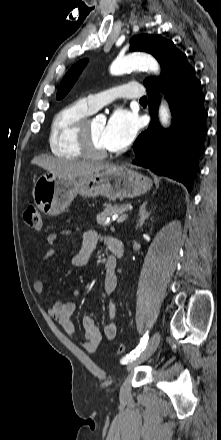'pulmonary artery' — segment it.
Wrapping results in <instances>:
<instances>
[{
	"label": "pulmonary artery",
	"instance_id": "e3ab8cb5",
	"mask_svg": "<svg viewBox=\"0 0 221 440\" xmlns=\"http://www.w3.org/2000/svg\"><path fill=\"white\" fill-rule=\"evenodd\" d=\"M143 95V87L137 82H130L96 94L88 95L85 100L93 111H97L100 107L118 97L141 98Z\"/></svg>",
	"mask_w": 221,
	"mask_h": 440
}]
</instances>
